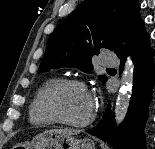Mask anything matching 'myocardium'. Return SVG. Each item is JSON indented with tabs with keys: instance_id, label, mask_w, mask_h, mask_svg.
Masks as SVG:
<instances>
[{
	"instance_id": "f54148a6",
	"label": "myocardium",
	"mask_w": 155,
	"mask_h": 149,
	"mask_svg": "<svg viewBox=\"0 0 155 149\" xmlns=\"http://www.w3.org/2000/svg\"><path fill=\"white\" fill-rule=\"evenodd\" d=\"M67 86H76L88 93L86 84L79 79H75V78L57 79L56 81H54L52 84L48 86V88L46 89L43 95L44 110L57 123H60L66 126H71V127H84V126L89 125L90 123L93 122L96 116V109H95L94 104H93V108H92L90 115L82 121L68 120L57 109L55 102H54V96L58 90H60L63 87H67Z\"/></svg>"
}]
</instances>
